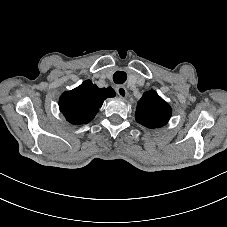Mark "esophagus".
Masks as SVG:
<instances>
[{
    "label": "esophagus",
    "mask_w": 227,
    "mask_h": 227,
    "mask_svg": "<svg viewBox=\"0 0 227 227\" xmlns=\"http://www.w3.org/2000/svg\"><path fill=\"white\" fill-rule=\"evenodd\" d=\"M115 90H116L117 94L121 98H127L128 92H127L126 87H124V86H116Z\"/></svg>",
    "instance_id": "esophagus-1"
}]
</instances>
